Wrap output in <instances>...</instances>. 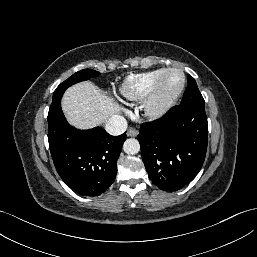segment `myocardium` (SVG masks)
<instances>
[{
    "mask_svg": "<svg viewBox=\"0 0 257 257\" xmlns=\"http://www.w3.org/2000/svg\"><path fill=\"white\" fill-rule=\"evenodd\" d=\"M178 72L182 76V83L179 89L170 95H165L163 92V85L165 79L170 73ZM186 84L185 73L178 68H169L159 77L153 90L145 99L144 108L146 115L151 118H160L168 112L182 94Z\"/></svg>",
    "mask_w": 257,
    "mask_h": 257,
    "instance_id": "myocardium-1",
    "label": "myocardium"
}]
</instances>
